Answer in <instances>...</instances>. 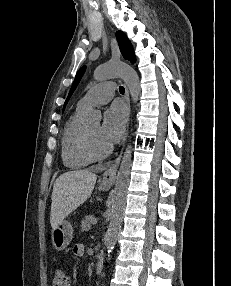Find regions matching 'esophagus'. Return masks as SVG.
<instances>
[{
    "mask_svg": "<svg viewBox=\"0 0 231 286\" xmlns=\"http://www.w3.org/2000/svg\"><path fill=\"white\" fill-rule=\"evenodd\" d=\"M125 102L128 108V111L130 113V97H129V91L126 87L125 89ZM127 136V135H126ZM126 136L124 139V143L126 141ZM122 157V152L119 154V156L113 161L111 166L103 173L102 179H101V184L105 186H112L115 182L116 178V172L120 163Z\"/></svg>",
    "mask_w": 231,
    "mask_h": 286,
    "instance_id": "1",
    "label": "esophagus"
}]
</instances>
